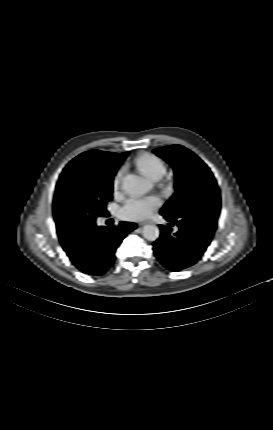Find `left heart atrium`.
I'll list each match as a JSON object with an SVG mask.
<instances>
[{
    "label": "left heart atrium",
    "instance_id": "39dd6f15",
    "mask_svg": "<svg viewBox=\"0 0 273 430\" xmlns=\"http://www.w3.org/2000/svg\"><path fill=\"white\" fill-rule=\"evenodd\" d=\"M160 205L161 201L157 196L132 197L125 201L119 214L126 220H144L150 217Z\"/></svg>",
    "mask_w": 273,
    "mask_h": 430
}]
</instances>
